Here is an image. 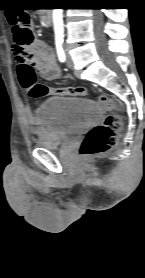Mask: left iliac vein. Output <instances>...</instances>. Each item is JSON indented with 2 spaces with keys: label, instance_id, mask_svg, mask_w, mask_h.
<instances>
[{
  "label": "left iliac vein",
  "instance_id": "1",
  "mask_svg": "<svg viewBox=\"0 0 145 278\" xmlns=\"http://www.w3.org/2000/svg\"><path fill=\"white\" fill-rule=\"evenodd\" d=\"M65 50L67 51V49L65 48ZM67 67L69 69H72L73 67V61H72V57L67 53Z\"/></svg>",
  "mask_w": 145,
  "mask_h": 278
}]
</instances>
